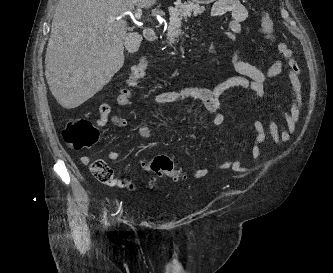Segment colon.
I'll use <instances>...</instances> for the list:
<instances>
[{
    "label": "colon",
    "mask_w": 333,
    "mask_h": 273,
    "mask_svg": "<svg viewBox=\"0 0 333 273\" xmlns=\"http://www.w3.org/2000/svg\"><path fill=\"white\" fill-rule=\"evenodd\" d=\"M259 32L268 40L274 39V23L269 13H264L260 20ZM62 136L65 143L72 149L81 150L96 143L98 139L97 128L87 119H73L68 122ZM141 168L156 174H166L175 181L184 178L182 172L176 168L173 161L164 155L151 160L142 161ZM90 170L94 177L102 183L112 184L114 175L112 168L102 159L93 161Z\"/></svg>",
    "instance_id": "1"
}]
</instances>
